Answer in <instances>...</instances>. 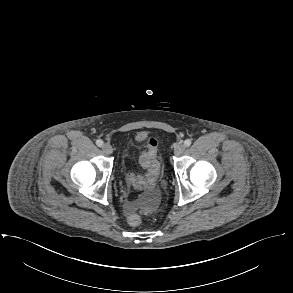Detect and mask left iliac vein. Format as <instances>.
Segmentation results:
<instances>
[{
	"label": "left iliac vein",
	"mask_w": 293,
	"mask_h": 293,
	"mask_svg": "<svg viewBox=\"0 0 293 293\" xmlns=\"http://www.w3.org/2000/svg\"><path fill=\"white\" fill-rule=\"evenodd\" d=\"M185 151V145L177 144L174 148L175 156H180Z\"/></svg>",
	"instance_id": "obj_1"
}]
</instances>
